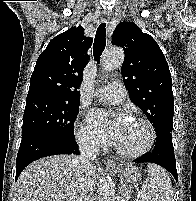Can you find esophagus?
Instances as JSON below:
<instances>
[{
	"label": "esophagus",
	"instance_id": "1",
	"mask_svg": "<svg viewBox=\"0 0 196 201\" xmlns=\"http://www.w3.org/2000/svg\"><path fill=\"white\" fill-rule=\"evenodd\" d=\"M111 14L112 13L110 10H103L102 16H103L104 21H108L111 17ZM106 164L112 165V164H114V161L111 159H107Z\"/></svg>",
	"mask_w": 196,
	"mask_h": 201
}]
</instances>
